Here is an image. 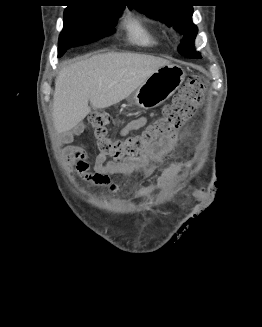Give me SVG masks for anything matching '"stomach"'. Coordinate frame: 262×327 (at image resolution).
Wrapping results in <instances>:
<instances>
[{
    "label": "stomach",
    "instance_id": "stomach-1",
    "mask_svg": "<svg viewBox=\"0 0 262 327\" xmlns=\"http://www.w3.org/2000/svg\"><path fill=\"white\" fill-rule=\"evenodd\" d=\"M185 71L176 64L157 69L130 96L131 104L142 109L155 108L168 100L183 83Z\"/></svg>",
    "mask_w": 262,
    "mask_h": 327
}]
</instances>
